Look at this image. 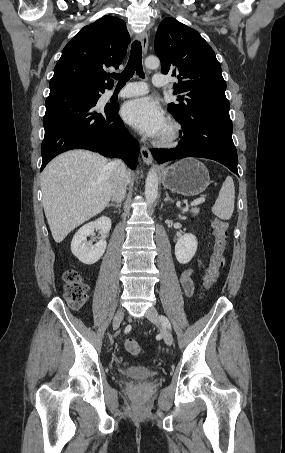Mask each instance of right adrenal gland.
<instances>
[{"instance_id":"1","label":"right adrenal gland","mask_w":285,"mask_h":453,"mask_svg":"<svg viewBox=\"0 0 285 453\" xmlns=\"http://www.w3.org/2000/svg\"><path fill=\"white\" fill-rule=\"evenodd\" d=\"M107 207H114V208H120L121 207V202L115 204V203H109Z\"/></svg>"}]
</instances>
